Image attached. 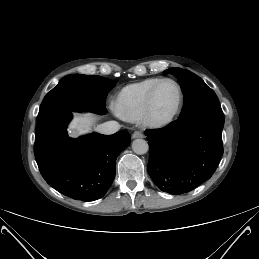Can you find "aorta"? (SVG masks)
Returning a JSON list of instances; mask_svg holds the SVG:
<instances>
[{"label": "aorta", "mask_w": 259, "mask_h": 259, "mask_svg": "<svg viewBox=\"0 0 259 259\" xmlns=\"http://www.w3.org/2000/svg\"><path fill=\"white\" fill-rule=\"evenodd\" d=\"M132 150L138 155H143L148 152L149 145L144 139H136L132 143Z\"/></svg>", "instance_id": "obj_1"}]
</instances>
